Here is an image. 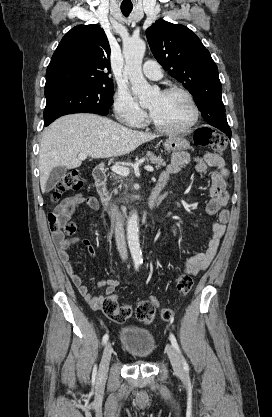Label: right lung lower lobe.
Returning a JSON list of instances; mask_svg holds the SVG:
<instances>
[{
  "label": "right lung lower lobe",
  "mask_w": 272,
  "mask_h": 417,
  "mask_svg": "<svg viewBox=\"0 0 272 417\" xmlns=\"http://www.w3.org/2000/svg\"><path fill=\"white\" fill-rule=\"evenodd\" d=\"M80 112H87V111H79V112H74V113H80ZM87 113H91V112H87ZM70 114H72V113H70ZM50 123H48V124H44L45 126H48Z\"/></svg>",
  "instance_id": "98d812e1"
}]
</instances>
